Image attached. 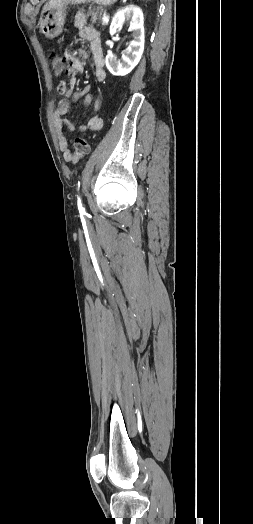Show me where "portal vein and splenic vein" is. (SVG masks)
Wrapping results in <instances>:
<instances>
[{"instance_id": "1", "label": "portal vein and splenic vein", "mask_w": 253, "mask_h": 524, "mask_svg": "<svg viewBox=\"0 0 253 524\" xmlns=\"http://www.w3.org/2000/svg\"><path fill=\"white\" fill-rule=\"evenodd\" d=\"M102 21H103V24L108 23V21H109V17H108V16H104V17L102 18Z\"/></svg>"}]
</instances>
